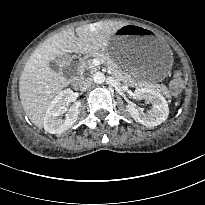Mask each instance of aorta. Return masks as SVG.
<instances>
[{"label":"aorta","mask_w":205,"mask_h":205,"mask_svg":"<svg viewBox=\"0 0 205 205\" xmlns=\"http://www.w3.org/2000/svg\"><path fill=\"white\" fill-rule=\"evenodd\" d=\"M93 80L97 84H102L105 81V75L102 72H96L93 76Z\"/></svg>","instance_id":"1"}]
</instances>
